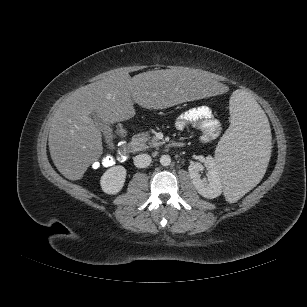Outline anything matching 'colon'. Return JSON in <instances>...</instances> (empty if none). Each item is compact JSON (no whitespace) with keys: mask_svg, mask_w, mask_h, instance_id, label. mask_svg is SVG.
Here are the masks:
<instances>
[{"mask_svg":"<svg viewBox=\"0 0 307 307\" xmlns=\"http://www.w3.org/2000/svg\"><path fill=\"white\" fill-rule=\"evenodd\" d=\"M116 132L120 137V141L116 145L115 149L112 152L104 154L98 160L93 163L94 168L99 167H110L116 165L117 163L124 161L127 156V143H126V135L127 132L125 128L121 125H118L116 128Z\"/></svg>","mask_w":307,"mask_h":307,"instance_id":"colon-1","label":"colon"}]
</instances>
